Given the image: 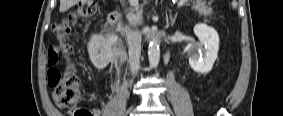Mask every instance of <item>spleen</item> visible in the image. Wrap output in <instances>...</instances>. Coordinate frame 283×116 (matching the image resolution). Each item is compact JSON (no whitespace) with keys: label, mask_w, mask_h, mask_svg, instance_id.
Instances as JSON below:
<instances>
[{"label":"spleen","mask_w":283,"mask_h":116,"mask_svg":"<svg viewBox=\"0 0 283 116\" xmlns=\"http://www.w3.org/2000/svg\"><path fill=\"white\" fill-rule=\"evenodd\" d=\"M232 7H233V8H236V7H237V2H236V1H233V2H232Z\"/></svg>","instance_id":"spleen-1"}]
</instances>
